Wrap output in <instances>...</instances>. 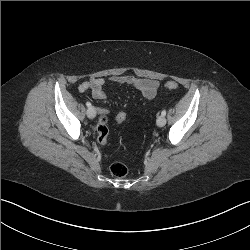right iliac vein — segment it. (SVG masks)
<instances>
[{
  "instance_id": "obj_1",
  "label": "right iliac vein",
  "mask_w": 250,
  "mask_h": 250,
  "mask_svg": "<svg viewBox=\"0 0 250 250\" xmlns=\"http://www.w3.org/2000/svg\"><path fill=\"white\" fill-rule=\"evenodd\" d=\"M87 116H88L90 119L95 118V116H96V110H95L94 107L88 108V110H87Z\"/></svg>"
}]
</instances>
